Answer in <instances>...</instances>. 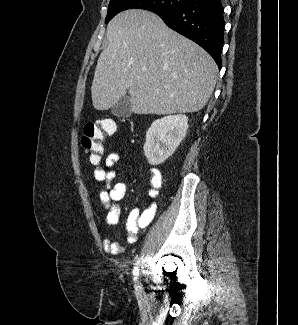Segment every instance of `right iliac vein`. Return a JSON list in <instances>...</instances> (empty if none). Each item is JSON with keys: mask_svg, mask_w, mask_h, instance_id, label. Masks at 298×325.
Returning a JSON list of instances; mask_svg holds the SVG:
<instances>
[{"mask_svg": "<svg viewBox=\"0 0 298 325\" xmlns=\"http://www.w3.org/2000/svg\"><path fill=\"white\" fill-rule=\"evenodd\" d=\"M135 290H136V293H138V294L141 292V290H142L141 283L138 282V283L136 284V286H135Z\"/></svg>", "mask_w": 298, "mask_h": 325, "instance_id": "63e3f726", "label": "right iliac vein"}]
</instances>
